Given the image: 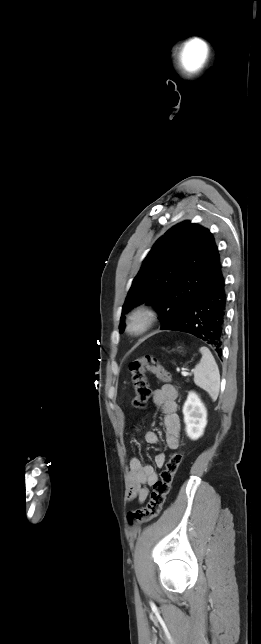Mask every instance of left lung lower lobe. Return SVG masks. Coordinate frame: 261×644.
Instances as JSON below:
<instances>
[{"mask_svg": "<svg viewBox=\"0 0 261 644\" xmlns=\"http://www.w3.org/2000/svg\"><path fill=\"white\" fill-rule=\"evenodd\" d=\"M222 266L184 313L162 330L192 334L212 345L221 354L227 295Z\"/></svg>", "mask_w": 261, "mask_h": 644, "instance_id": "left-lung-lower-lobe-1", "label": "left lung lower lobe"}]
</instances>
